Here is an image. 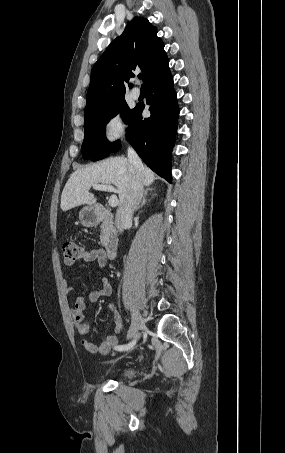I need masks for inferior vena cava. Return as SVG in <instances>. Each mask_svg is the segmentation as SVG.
Wrapping results in <instances>:
<instances>
[{"label":"inferior vena cava","instance_id":"1","mask_svg":"<svg viewBox=\"0 0 285 453\" xmlns=\"http://www.w3.org/2000/svg\"><path fill=\"white\" fill-rule=\"evenodd\" d=\"M127 157L132 168V178L125 199L116 212V226L119 232H123L124 228L132 222V215L143 195V164L131 146L128 147Z\"/></svg>","mask_w":285,"mask_h":453}]
</instances>
